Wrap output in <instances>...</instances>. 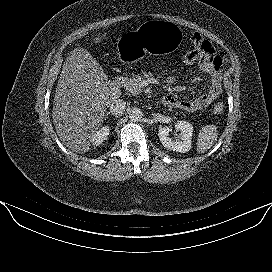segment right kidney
<instances>
[{
	"label": "right kidney",
	"instance_id": "ca27d5eb",
	"mask_svg": "<svg viewBox=\"0 0 272 272\" xmlns=\"http://www.w3.org/2000/svg\"><path fill=\"white\" fill-rule=\"evenodd\" d=\"M109 132H110L109 126H104L101 129H99L93 137V142H92L93 145L99 146L104 140L107 139Z\"/></svg>",
	"mask_w": 272,
	"mask_h": 272
}]
</instances>
